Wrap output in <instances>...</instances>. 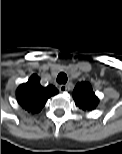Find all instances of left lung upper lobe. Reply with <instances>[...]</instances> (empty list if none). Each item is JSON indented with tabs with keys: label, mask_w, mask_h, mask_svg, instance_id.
<instances>
[{
	"label": "left lung upper lobe",
	"mask_w": 122,
	"mask_h": 154,
	"mask_svg": "<svg viewBox=\"0 0 122 154\" xmlns=\"http://www.w3.org/2000/svg\"><path fill=\"white\" fill-rule=\"evenodd\" d=\"M75 104L84 111H91L98 105L99 99L88 82L78 83L73 91Z\"/></svg>",
	"instance_id": "5c2ea615"
}]
</instances>
